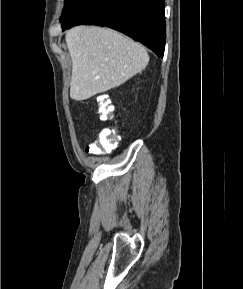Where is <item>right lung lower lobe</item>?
I'll use <instances>...</instances> for the list:
<instances>
[{
    "instance_id": "right-lung-lower-lobe-1",
    "label": "right lung lower lobe",
    "mask_w": 243,
    "mask_h": 289,
    "mask_svg": "<svg viewBox=\"0 0 243 289\" xmlns=\"http://www.w3.org/2000/svg\"><path fill=\"white\" fill-rule=\"evenodd\" d=\"M95 24L118 30L163 57L166 25L164 0H82L62 28Z\"/></svg>"
}]
</instances>
